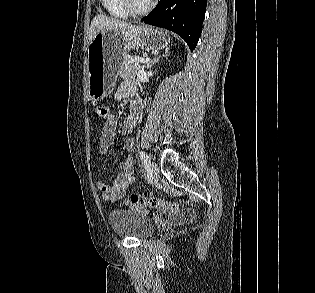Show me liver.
Listing matches in <instances>:
<instances>
[{
	"label": "liver",
	"mask_w": 315,
	"mask_h": 293,
	"mask_svg": "<svg viewBox=\"0 0 315 293\" xmlns=\"http://www.w3.org/2000/svg\"><path fill=\"white\" fill-rule=\"evenodd\" d=\"M129 26H131V23H127L102 14L97 15L91 22L89 30V44L100 31H106L114 28H126Z\"/></svg>",
	"instance_id": "liver-1"
}]
</instances>
